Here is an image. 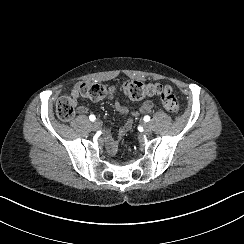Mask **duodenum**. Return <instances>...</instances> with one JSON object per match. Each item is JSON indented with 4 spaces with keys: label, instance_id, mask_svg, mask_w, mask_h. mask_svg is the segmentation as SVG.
Instances as JSON below:
<instances>
[{
    "label": "duodenum",
    "instance_id": "obj_1",
    "mask_svg": "<svg viewBox=\"0 0 244 244\" xmlns=\"http://www.w3.org/2000/svg\"><path fill=\"white\" fill-rule=\"evenodd\" d=\"M111 145H112V147H114L115 146V142H112Z\"/></svg>",
    "mask_w": 244,
    "mask_h": 244
}]
</instances>
